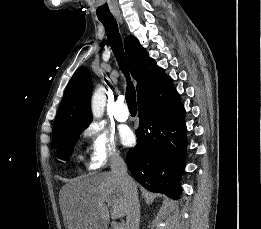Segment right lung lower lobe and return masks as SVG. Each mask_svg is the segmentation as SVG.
Listing matches in <instances>:
<instances>
[{
	"label": "right lung lower lobe",
	"mask_w": 261,
	"mask_h": 229,
	"mask_svg": "<svg viewBox=\"0 0 261 229\" xmlns=\"http://www.w3.org/2000/svg\"><path fill=\"white\" fill-rule=\"evenodd\" d=\"M137 99L140 127L137 145L126 155L128 168L147 190L176 198L188 143L180 96L167 77Z\"/></svg>",
	"instance_id": "obj_1"
}]
</instances>
